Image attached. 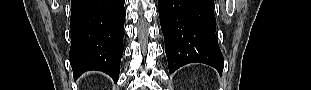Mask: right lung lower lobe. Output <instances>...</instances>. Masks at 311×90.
Returning a JSON list of instances; mask_svg holds the SVG:
<instances>
[{
	"label": "right lung lower lobe",
	"instance_id": "right-lung-lower-lobe-1",
	"mask_svg": "<svg viewBox=\"0 0 311 90\" xmlns=\"http://www.w3.org/2000/svg\"><path fill=\"white\" fill-rule=\"evenodd\" d=\"M125 0H71L72 42L69 53L74 78L88 70L119 78L123 54Z\"/></svg>",
	"mask_w": 311,
	"mask_h": 90
}]
</instances>
